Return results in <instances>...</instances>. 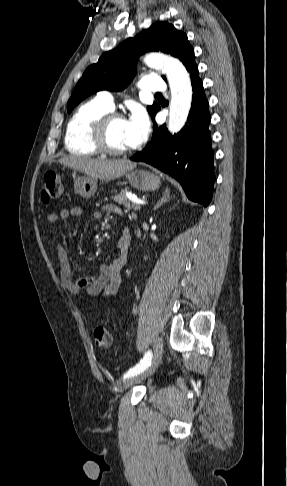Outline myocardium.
I'll list each match as a JSON object with an SVG mask.
<instances>
[{
  "label": "myocardium",
  "instance_id": "obj_1",
  "mask_svg": "<svg viewBox=\"0 0 287 486\" xmlns=\"http://www.w3.org/2000/svg\"><path fill=\"white\" fill-rule=\"evenodd\" d=\"M118 119H124V116L118 111L110 110L93 123L90 138L93 146L99 153L110 156H122L132 151L130 147L126 149H116L111 147L108 143V129L111 123Z\"/></svg>",
  "mask_w": 287,
  "mask_h": 486
}]
</instances>
